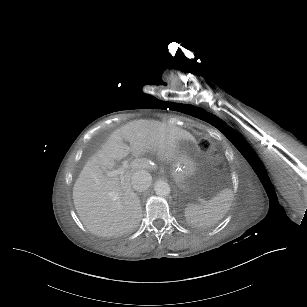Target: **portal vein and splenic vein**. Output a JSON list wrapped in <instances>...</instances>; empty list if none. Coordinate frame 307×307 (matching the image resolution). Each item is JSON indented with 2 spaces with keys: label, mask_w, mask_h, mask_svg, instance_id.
Masks as SVG:
<instances>
[{
  "label": "portal vein and splenic vein",
  "mask_w": 307,
  "mask_h": 307,
  "mask_svg": "<svg viewBox=\"0 0 307 307\" xmlns=\"http://www.w3.org/2000/svg\"><path fill=\"white\" fill-rule=\"evenodd\" d=\"M121 163L123 164V166H126L128 163V159L126 157H123L121 159ZM107 176L108 177H116L118 175L123 176L124 175V170L123 169H116V170H112V171H107Z\"/></svg>",
  "instance_id": "obj_1"
}]
</instances>
